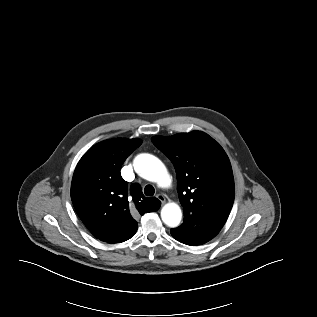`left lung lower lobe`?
<instances>
[{
  "mask_svg": "<svg viewBox=\"0 0 317 317\" xmlns=\"http://www.w3.org/2000/svg\"><path fill=\"white\" fill-rule=\"evenodd\" d=\"M226 219L212 216H197L178 228L171 235L181 243L195 246L213 239L225 224Z\"/></svg>",
  "mask_w": 317,
  "mask_h": 317,
  "instance_id": "1",
  "label": "left lung lower lobe"
}]
</instances>
